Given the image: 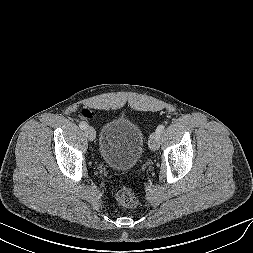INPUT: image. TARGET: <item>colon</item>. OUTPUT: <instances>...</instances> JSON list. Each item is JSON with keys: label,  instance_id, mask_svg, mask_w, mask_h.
I'll return each instance as SVG.
<instances>
[{"label": "colon", "instance_id": "colon-1", "mask_svg": "<svg viewBox=\"0 0 253 253\" xmlns=\"http://www.w3.org/2000/svg\"><path fill=\"white\" fill-rule=\"evenodd\" d=\"M82 115L84 117H90L91 112L89 110H84ZM115 198L121 206L126 208H135L138 204L137 196L126 186H120L115 190Z\"/></svg>", "mask_w": 253, "mask_h": 253}]
</instances>
